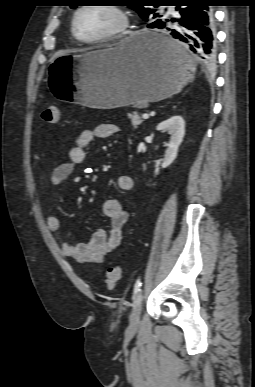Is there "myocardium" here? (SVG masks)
Listing matches in <instances>:
<instances>
[{"instance_id":"f54148a6","label":"myocardium","mask_w":255,"mask_h":387,"mask_svg":"<svg viewBox=\"0 0 255 387\" xmlns=\"http://www.w3.org/2000/svg\"><path fill=\"white\" fill-rule=\"evenodd\" d=\"M97 7V8H103L106 10H109L113 12L117 18H118V25L109 31L108 33L96 37V38H83L79 35L77 31V18L81 12L88 8ZM130 26V18L126 10L119 6V5H112V4H102V5H93V4H87V5H81L78 7L72 17L71 21V30L73 36L81 43L84 44H102V43H108L117 41L121 38H123L129 31Z\"/></svg>"}]
</instances>
